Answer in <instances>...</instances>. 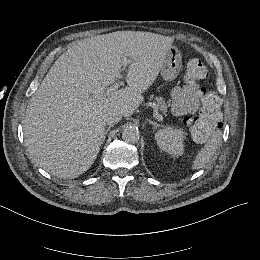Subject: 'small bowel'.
Segmentation results:
<instances>
[{"instance_id":"small-bowel-1","label":"small bowel","mask_w":260,"mask_h":260,"mask_svg":"<svg viewBox=\"0 0 260 260\" xmlns=\"http://www.w3.org/2000/svg\"><path fill=\"white\" fill-rule=\"evenodd\" d=\"M171 110L176 116L193 114L205 108L209 92L198 85L189 84L184 87H174L170 93Z\"/></svg>"}]
</instances>
